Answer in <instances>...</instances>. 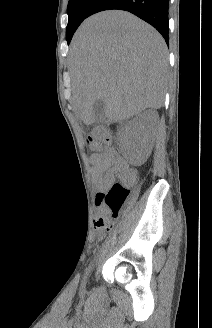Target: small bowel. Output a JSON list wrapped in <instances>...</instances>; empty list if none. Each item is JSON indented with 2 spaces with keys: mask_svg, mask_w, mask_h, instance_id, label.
Returning a JSON list of instances; mask_svg holds the SVG:
<instances>
[{
  "mask_svg": "<svg viewBox=\"0 0 212 328\" xmlns=\"http://www.w3.org/2000/svg\"><path fill=\"white\" fill-rule=\"evenodd\" d=\"M94 149L97 152L90 157L92 174L101 188L108 186L116 176L121 177L126 183L134 181L135 172L126 166L114 149L102 144L94 145Z\"/></svg>",
  "mask_w": 212,
  "mask_h": 328,
  "instance_id": "obj_1",
  "label": "small bowel"
}]
</instances>
